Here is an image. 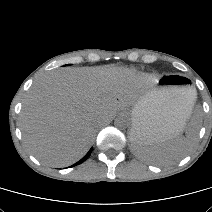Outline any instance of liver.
Instances as JSON below:
<instances>
[{
    "label": "liver",
    "instance_id": "obj_1",
    "mask_svg": "<svg viewBox=\"0 0 212 212\" xmlns=\"http://www.w3.org/2000/svg\"><path fill=\"white\" fill-rule=\"evenodd\" d=\"M149 79L111 66L47 73L34 82L23 102L19 126L26 148L49 166L76 162L91 146L97 126L134 105ZM180 115L184 120L182 110Z\"/></svg>",
    "mask_w": 212,
    "mask_h": 212
}]
</instances>
